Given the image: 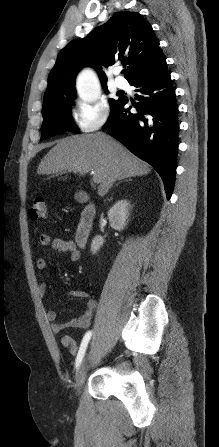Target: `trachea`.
Segmentation results:
<instances>
[{
    "instance_id": "1",
    "label": "trachea",
    "mask_w": 219,
    "mask_h": 447,
    "mask_svg": "<svg viewBox=\"0 0 219 447\" xmlns=\"http://www.w3.org/2000/svg\"><path fill=\"white\" fill-rule=\"evenodd\" d=\"M127 70L126 69H124V70H122V73H125Z\"/></svg>"
}]
</instances>
